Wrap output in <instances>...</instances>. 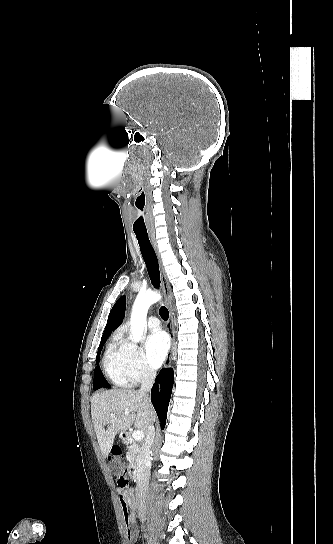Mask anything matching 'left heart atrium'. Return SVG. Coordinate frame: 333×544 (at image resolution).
<instances>
[{"instance_id": "39dd6f15", "label": "left heart atrium", "mask_w": 333, "mask_h": 544, "mask_svg": "<svg viewBox=\"0 0 333 544\" xmlns=\"http://www.w3.org/2000/svg\"><path fill=\"white\" fill-rule=\"evenodd\" d=\"M169 349V340L164 332L156 331L150 334L145 343V354L148 363L158 368L163 363Z\"/></svg>"}]
</instances>
